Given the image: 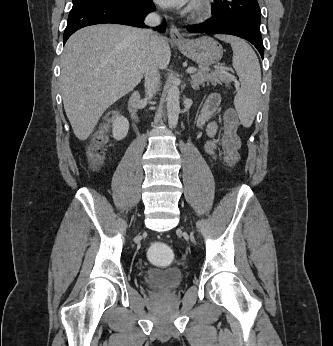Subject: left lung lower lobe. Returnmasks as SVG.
Returning <instances> with one entry per match:
<instances>
[{
	"instance_id": "0a47b994",
	"label": "left lung lower lobe",
	"mask_w": 333,
	"mask_h": 346,
	"mask_svg": "<svg viewBox=\"0 0 333 346\" xmlns=\"http://www.w3.org/2000/svg\"><path fill=\"white\" fill-rule=\"evenodd\" d=\"M187 30L191 33L228 34L241 37L257 48L262 59L264 57L260 28L245 21L239 19H219L214 16L204 23L188 26Z\"/></svg>"
}]
</instances>
